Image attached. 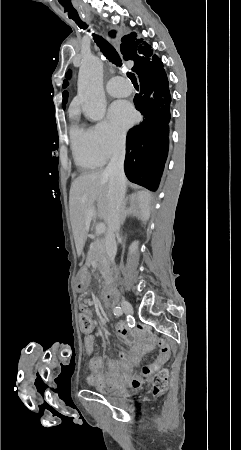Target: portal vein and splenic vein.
<instances>
[{"mask_svg": "<svg viewBox=\"0 0 241 450\" xmlns=\"http://www.w3.org/2000/svg\"><path fill=\"white\" fill-rule=\"evenodd\" d=\"M105 230H106L105 224H97V226H96L97 236H100V234H103V232H105Z\"/></svg>", "mask_w": 241, "mask_h": 450, "instance_id": "obj_1", "label": "portal vein and splenic vein"}]
</instances>
